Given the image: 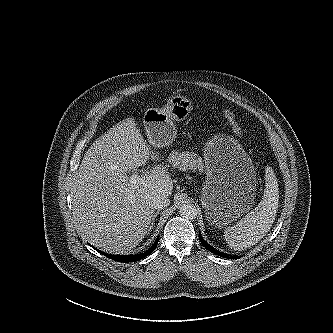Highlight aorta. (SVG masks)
Wrapping results in <instances>:
<instances>
[{"label": "aorta", "mask_w": 333, "mask_h": 333, "mask_svg": "<svg viewBox=\"0 0 333 333\" xmlns=\"http://www.w3.org/2000/svg\"><path fill=\"white\" fill-rule=\"evenodd\" d=\"M197 208L193 204H183L180 206L179 209V214L181 217L188 219V220H193L197 216Z\"/></svg>", "instance_id": "762f6f07"}]
</instances>
